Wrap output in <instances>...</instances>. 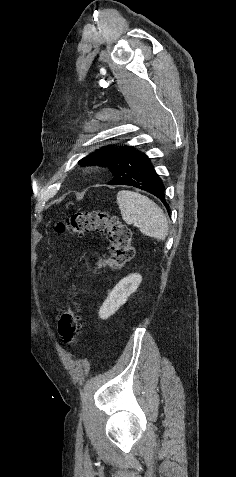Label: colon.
<instances>
[{
	"label": "colon",
	"mask_w": 236,
	"mask_h": 477,
	"mask_svg": "<svg viewBox=\"0 0 236 477\" xmlns=\"http://www.w3.org/2000/svg\"><path fill=\"white\" fill-rule=\"evenodd\" d=\"M55 231L76 236L90 232L105 234L110 242V256L98 259L94 265L95 270L121 268L134 256L131 230L118 219L109 217L106 212L77 211L66 222H58ZM71 292L75 293L74 287ZM78 331L79 305L72 300L58 320V334L64 343L73 344L77 340Z\"/></svg>",
	"instance_id": "obj_1"
}]
</instances>
